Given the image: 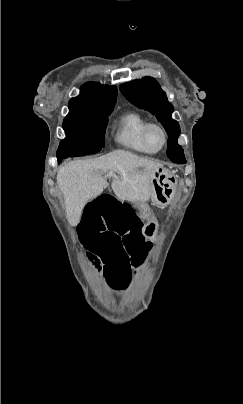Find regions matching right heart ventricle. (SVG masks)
Instances as JSON below:
<instances>
[{
	"instance_id": "obj_1",
	"label": "right heart ventricle",
	"mask_w": 243,
	"mask_h": 404,
	"mask_svg": "<svg viewBox=\"0 0 243 404\" xmlns=\"http://www.w3.org/2000/svg\"><path fill=\"white\" fill-rule=\"evenodd\" d=\"M148 122L146 117L129 110L121 114L115 123L114 141L122 149L140 155H154L160 149L148 145L142 137V129Z\"/></svg>"
}]
</instances>
